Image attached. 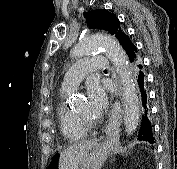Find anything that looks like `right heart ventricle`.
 I'll use <instances>...</instances> for the list:
<instances>
[{
  "label": "right heart ventricle",
  "mask_w": 177,
  "mask_h": 169,
  "mask_svg": "<svg viewBox=\"0 0 177 169\" xmlns=\"http://www.w3.org/2000/svg\"><path fill=\"white\" fill-rule=\"evenodd\" d=\"M72 91H61V102L58 107V121L63 137L69 141L83 140L88 135V130L78 120L75 112L65 106L64 99Z\"/></svg>",
  "instance_id": "1"
}]
</instances>
